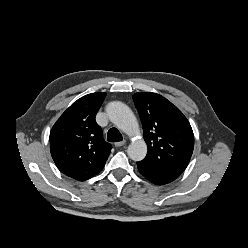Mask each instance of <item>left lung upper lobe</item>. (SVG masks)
Here are the masks:
<instances>
[{
  "instance_id": "5c2ea615",
  "label": "left lung upper lobe",
  "mask_w": 248,
  "mask_h": 248,
  "mask_svg": "<svg viewBox=\"0 0 248 248\" xmlns=\"http://www.w3.org/2000/svg\"><path fill=\"white\" fill-rule=\"evenodd\" d=\"M133 98L148 146L144 160L163 168L183 172L194 148V135L187 118L159 94L135 93Z\"/></svg>"
}]
</instances>
